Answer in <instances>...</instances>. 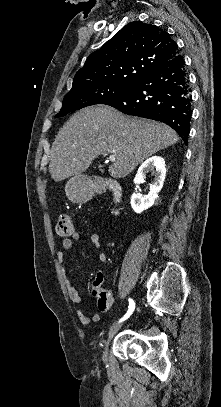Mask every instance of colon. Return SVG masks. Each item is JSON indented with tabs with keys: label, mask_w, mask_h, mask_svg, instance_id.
<instances>
[{
	"label": "colon",
	"mask_w": 221,
	"mask_h": 407,
	"mask_svg": "<svg viewBox=\"0 0 221 407\" xmlns=\"http://www.w3.org/2000/svg\"><path fill=\"white\" fill-rule=\"evenodd\" d=\"M57 234L62 237L71 236L74 232V225L71 217L67 214L60 215L57 225ZM94 294L100 296L98 301V307L102 312H107L110 309L111 303L108 299L104 297V290L101 283L94 284L92 286Z\"/></svg>",
	"instance_id": "1"
}]
</instances>
